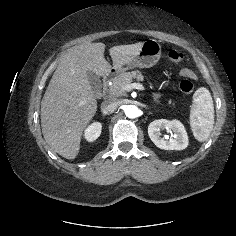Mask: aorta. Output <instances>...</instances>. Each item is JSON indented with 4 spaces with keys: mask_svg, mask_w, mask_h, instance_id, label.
Masks as SVG:
<instances>
[{
    "mask_svg": "<svg viewBox=\"0 0 236 236\" xmlns=\"http://www.w3.org/2000/svg\"><path fill=\"white\" fill-rule=\"evenodd\" d=\"M125 115L128 118L134 119L139 116V109L135 105H127L125 108Z\"/></svg>",
    "mask_w": 236,
    "mask_h": 236,
    "instance_id": "762f6f07",
    "label": "aorta"
}]
</instances>
